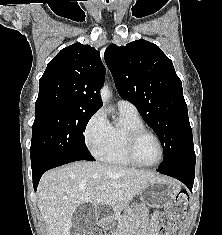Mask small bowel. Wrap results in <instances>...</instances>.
Wrapping results in <instances>:
<instances>
[{"instance_id": "1", "label": "small bowel", "mask_w": 222, "mask_h": 235, "mask_svg": "<svg viewBox=\"0 0 222 235\" xmlns=\"http://www.w3.org/2000/svg\"><path fill=\"white\" fill-rule=\"evenodd\" d=\"M158 225L155 219H153L148 226V235H158L157 234ZM114 235H125L123 231L116 232Z\"/></svg>"}]
</instances>
